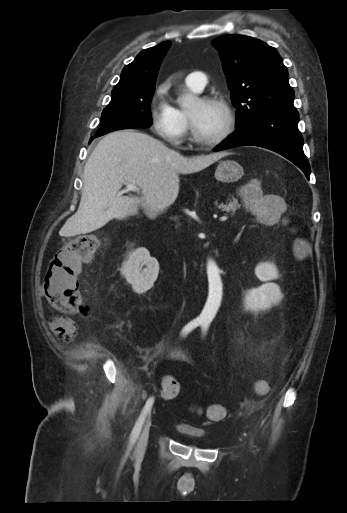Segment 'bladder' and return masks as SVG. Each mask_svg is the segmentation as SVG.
<instances>
[{"label": "bladder", "mask_w": 347, "mask_h": 513, "mask_svg": "<svg viewBox=\"0 0 347 513\" xmlns=\"http://www.w3.org/2000/svg\"><path fill=\"white\" fill-rule=\"evenodd\" d=\"M177 430L181 434H183L187 437H190V438H193V437L203 438L204 437L203 430L195 428L189 424L180 423L177 425ZM195 446L202 448L204 450H211L214 448L212 445H210L209 443H206L204 441L198 442L197 445H195Z\"/></svg>", "instance_id": "obj_1"}]
</instances>
